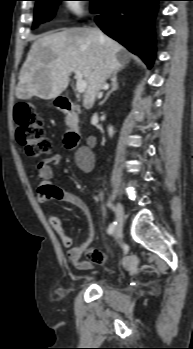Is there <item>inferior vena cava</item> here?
<instances>
[{"instance_id":"inferior-vena-cava-1","label":"inferior vena cava","mask_w":193,"mask_h":349,"mask_svg":"<svg viewBox=\"0 0 193 349\" xmlns=\"http://www.w3.org/2000/svg\"><path fill=\"white\" fill-rule=\"evenodd\" d=\"M97 31V33H98V35H99V37H100V39L101 40H105V37H104V35L99 31V30H96ZM107 66V62H106V65H105V67ZM108 86H107V84H103V86L101 87V89H106ZM100 96H102V92H99L98 93V97H100Z\"/></svg>"}]
</instances>
